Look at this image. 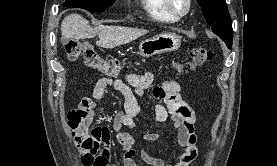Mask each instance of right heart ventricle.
I'll return each instance as SVG.
<instances>
[{
    "instance_id": "obj_1",
    "label": "right heart ventricle",
    "mask_w": 277,
    "mask_h": 166,
    "mask_svg": "<svg viewBox=\"0 0 277 166\" xmlns=\"http://www.w3.org/2000/svg\"><path fill=\"white\" fill-rule=\"evenodd\" d=\"M141 4L146 13L155 21L174 22L176 20L166 11L162 0H141Z\"/></svg>"
}]
</instances>
